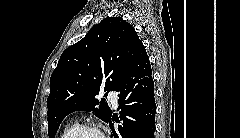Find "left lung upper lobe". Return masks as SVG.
<instances>
[{
	"instance_id": "5c2ea615",
	"label": "left lung upper lobe",
	"mask_w": 240,
	"mask_h": 138,
	"mask_svg": "<svg viewBox=\"0 0 240 138\" xmlns=\"http://www.w3.org/2000/svg\"><path fill=\"white\" fill-rule=\"evenodd\" d=\"M144 46L135 29L120 17H107L61 55L50 79L48 134L54 138L62 120L78 110L93 111L107 123L112 115L95 98L120 87L139 49Z\"/></svg>"
}]
</instances>
